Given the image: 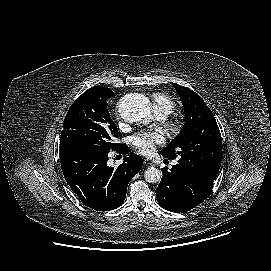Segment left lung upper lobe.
I'll use <instances>...</instances> for the list:
<instances>
[{
    "mask_svg": "<svg viewBox=\"0 0 271 271\" xmlns=\"http://www.w3.org/2000/svg\"><path fill=\"white\" fill-rule=\"evenodd\" d=\"M185 111V125L180 134L161 153L178 165L214 181L221 166L222 138L211 110L191 89L173 84Z\"/></svg>",
    "mask_w": 271,
    "mask_h": 271,
    "instance_id": "5c2ea615",
    "label": "left lung upper lobe"
}]
</instances>
